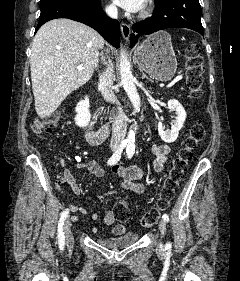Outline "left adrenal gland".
I'll use <instances>...</instances> for the list:
<instances>
[{
	"label": "left adrenal gland",
	"mask_w": 240,
	"mask_h": 281,
	"mask_svg": "<svg viewBox=\"0 0 240 281\" xmlns=\"http://www.w3.org/2000/svg\"><path fill=\"white\" fill-rule=\"evenodd\" d=\"M140 72L142 73V79L146 78L148 81L153 82V80L149 78L142 70H140Z\"/></svg>",
	"instance_id": "1"
}]
</instances>
